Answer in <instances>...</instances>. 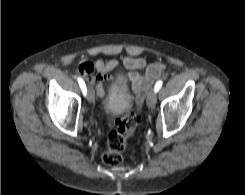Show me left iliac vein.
<instances>
[{
  "label": "left iliac vein",
  "instance_id": "left-iliac-vein-1",
  "mask_svg": "<svg viewBox=\"0 0 245 195\" xmlns=\"http://www.w3.org/2000/svg\"><path fill=\"white\" fill-rule=\"evenodd\" d=\"M157 96L155 90H151L147 96V105L153 108L156 104Z\"/></svg>",
  "mask_w": 245,
  "mask_h": 195
}]
</instances>
